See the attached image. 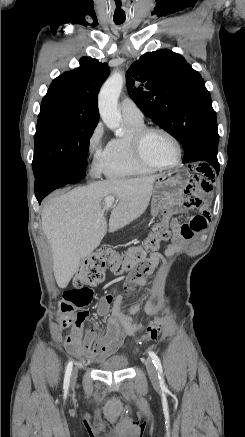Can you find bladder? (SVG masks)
<instances>
[{
	"mask_svg": "<svg viewBox=\"0 0 245 437\" xmlns=\"http://www.w3.org/2000/svg\"><path fill=\"white\" fill-rule=\"evenodd\" d=\"M129 359L126 355H116L99 363V368L104 371H120L128 368Z\"/></svg>",
	"mask_w": 245,
	"mask_h": 437,
	"instance_id": "1",
	"label": "bladder"
}]
</instances>
